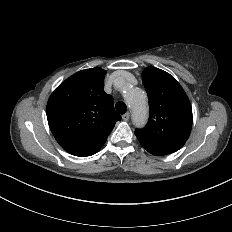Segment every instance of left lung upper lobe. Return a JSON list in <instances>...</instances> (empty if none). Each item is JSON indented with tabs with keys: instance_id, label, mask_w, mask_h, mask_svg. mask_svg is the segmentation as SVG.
Instances as JSON below:
<instances>
[{
	"instance_id": "left-lung-upper-lobe-1",
	"label": "left lung upper lobe",
	"mask_w": 232,
	"mask_h": 232,
	"mask_svg": "<svg viewBox=\"0 0 232 232\" xmlns=\"http://www.w3.org/2000/svg\"><path fill=\"white\" fill-rule=\"evenodd\" d=\"M142 81L150 116L143 129H136V137L141 144L178 151L192 127V108L185 91L172 75L152 66L143 71Z\"/></svg>"
}]
</instances>
